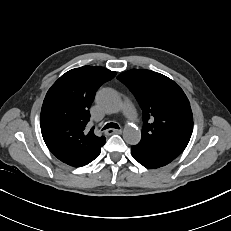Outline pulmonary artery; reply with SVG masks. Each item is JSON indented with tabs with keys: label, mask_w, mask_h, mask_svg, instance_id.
Masks as SVG:
<instances>
[{
	"label": "pulmonary artery",
	"mask_w": 231,
	"mask_h": 231,
	"mask_svg": "<svg viewBox=\"0 0 231 231\" xmlns=\"http://www.w3.org/2000/svg\"><path fill=\"white\" fill-rule=\"evenodd\" d=\"M122 112L125 117L131 118L135 116V110L132 103L128 100L124 101L122 105Z\"/></svg>",
	"instance_id": "obj_1"
}]
</instances>
